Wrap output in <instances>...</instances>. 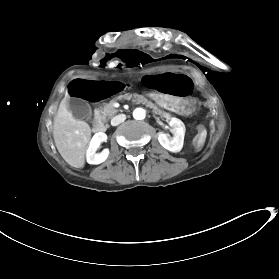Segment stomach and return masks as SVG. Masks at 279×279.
<instances>
[{"instance_id": "stomach-1", "label": "stomach", "mask_w": 279, "mask_h": 279, "mask_svg": "<svg viewBox=\"0 0 279 279\" xmlns=\"http://www.w3.org/2000/svg\"><path fill=\"white\" fill-rule=\"evenodd\" d=\"M151 99H154L156 105H161L165 109H171L173 112L190 116L197 109V102L190 97L176 98L173 96H165L151 92L149 94Z\"/></svg>"}]
</instances>
